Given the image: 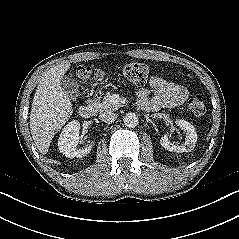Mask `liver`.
<instances>
[{"instance_id":"6515ba94","label":"liver","mask_w":239,"mask_h":239,"mask_svg":"<svg viewBox=\"0 0 239 239\" xmlns=\"http://www.w3.org/2000/svg\"><path fill=\"white\" fill-rule=\"evenodd\" d=\"M70 63L50 68L39 81L30 113V131L42 154L48 152L54 135L73 113L72 103L61 87V79Z\"/></svg>"}]
</instances>
